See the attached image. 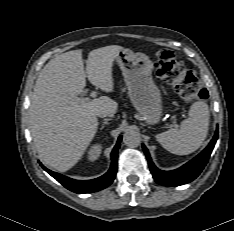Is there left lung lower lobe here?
Instances as JSON below:
<instances>
[{
    "label": "left lung lower lobe",
    "instance_id": "obj_1",
    "mask_svg": "<svg viewBox=\"0 0 234 231\" xmlns=\"http://www.w3.org/2000/svg\"><path fill=\"white\" fill-rule=\"evenodd\" d=\"M217 138L218 128L216 129L215 135L209 145L199 155H197L194 159H192L182 167L172 171L159 170L152 162L147 148L144 145H142V147L147 157L150 171L155 181L164 186H179L191 182L201 173L209 160L210 154L214 148Z\"/></svg>",
    "mask_w": 234,
    "mask_h": 231
}]
</instances>
